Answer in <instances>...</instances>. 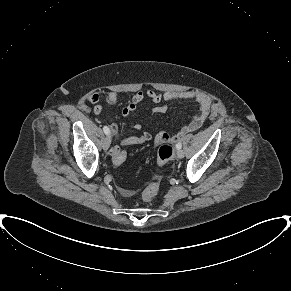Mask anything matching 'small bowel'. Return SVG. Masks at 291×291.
Here are the masks:
<instances>
[{
	"instance_id": "1",
	"label": "small bowel",
	"mask_w": 291,
	"mask_h": 291,
	"mask_svg": "<svg viewBox=\"0 0 291 291\" xmlns=\"http://www.w3.org/2000/svg\"><path fill=\"white\" fill-rule=\"evenodd\" d=\"M100 95L93 94L91 95L88 100L90 103L95 104L99 102ZM117 94L111 93L109 96V99L111 102L117 101ZM145 98L149 99L153 103L156 104V106L152 109L153 113L163 114L166 113L168 110V103H172L177 100H183V101H191L198 104V111L194 115V117L189 121L187 125H185L176 135L172 136L165 132H160L154 137V143L157 145L164 144V143H176L182 137L192 131L197 130L200 128L203 123L205 122L207 115L209 113L211 101L207 95H205L202 92L199 91H184V92H164V93H158L153 90H147V91H138L136 92L132 98L129 104L123 108L121 111L122 117H127L131 115L136 109L139 103H141ZM101 106L96 105L94 107V113L100 114L101 112ZM110 129L112 131V134L114 136H117L118 134V127L116 124H111ZM135 129L138 131H142V126L140 124L135 125ZM151 140V136L147 132H142L140 136H131L120 140V145L122 146H128V145H136L141 144L146 141ZM113 149H119L118 146L113 147ZM121 194L125 197H129L133 195V191L129 189H120Z\"/></svg>"
}]
</instances>
